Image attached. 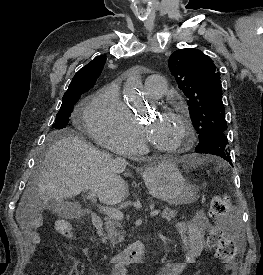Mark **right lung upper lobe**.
Here are the masks:
<instances>
[{"instance_id": "obj_1", "label": "right lung upper lobe", "mask_w": 263, "mask_h": 275, "mask_svg": "<svg viewBox=\"0 0 263 275\" xmlns=\"http://www.w3.org/2000/svg\"><path fill=\"white\" fill-rule=\"evenodd\" d=\"M106 62V55H101L93 59L90 63L80 69L73 77L68 90L65 92L70 93L82 89H90L96 82V79L102 72Z\"/></svg>"}]
</instances>
